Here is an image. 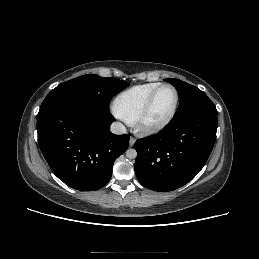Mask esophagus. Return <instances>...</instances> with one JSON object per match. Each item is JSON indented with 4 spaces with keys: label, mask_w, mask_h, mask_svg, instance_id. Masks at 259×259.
Listing matches in <instances>:
<instances>
[{
    "label": "esophagus",
    "mask_w": 259,
    "mask_h": 259,
    "mask_svg": "<svg viewBox=\"0 0 259 259\" xmlns=\"http://www.w3.org/2000/svg\"><path fill=\"white\" fill-rule=\"evenodd\" d=\"M135 138L134 137H131L130 140H129V145L130 146H133L135 144Z\"/></svg>",
    "instance_id": "obj_1"
}]
</instances>
